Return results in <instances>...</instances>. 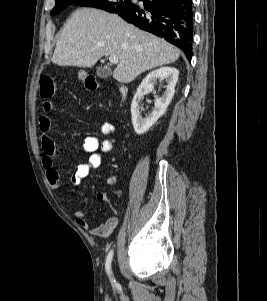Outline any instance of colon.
<instances>
[{
  "mask_svg": "<svg viewBox=\"0 0 267 301\" xmlns=\"http://www.w3.org/2000/svg\"><path fill=\"white\" fill-rule=\"evenodd\" d=\"M56 83L49 76H43L40 79V96L44 99L51 98L56 93Z\"/></svg>",
  "mask_w": 267,
  "mask_h": 301,
  "instance_id": "colon-1",
  "label": "colon"
}]
</instances>
